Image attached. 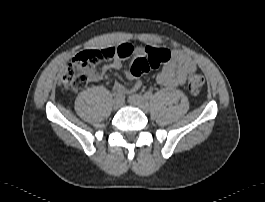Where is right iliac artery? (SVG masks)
<instances>
[{
	"label": "right iliac artery",
	"instance_id": "right-iliac-artery-1",
	"mask_svg": "<svg viewBox=\"0 0 265 202\" xmlns=\"http://www.w3.org/2000/svg\"><path fill=\"white\" fill-rule=\"evenodd\" d=\"M114 98H121L123 97V92L122 91H114L113 92Z\"/></svg>",
	"mask_w": 265,
	"mask_h": 202
}]
</instances>
